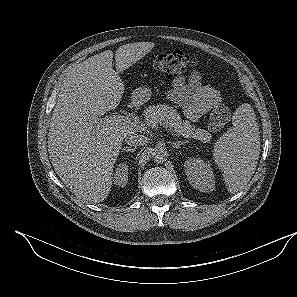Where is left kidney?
<instances>
[{
  "instance_id": "1",
  "label": "left kidney",
  "mask_w": 297,
  "mask_h": 297,
  "mask_svg": "<svg viewBox=\"0 0 297 297\" xmlns=\"http://www.w3.org/2000/svg\"><path fill=\"white\" fill-rule=\"evenodd\" d=\"M184 169L189 183L201 192H212L215 189V178L208 163L200 158L185 161Z\"/></svg>"
}]
</instances>
